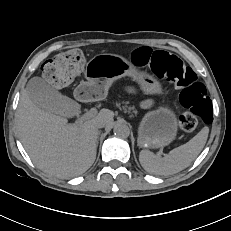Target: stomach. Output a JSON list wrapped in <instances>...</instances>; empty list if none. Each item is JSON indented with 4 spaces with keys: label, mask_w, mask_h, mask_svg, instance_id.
<instances>
[{
    "label": "stomach",
    "mask_w": 231,
    "mask_h": 231,
    "mask_svg": "<svg viewBox=\"0 0 231 231\" xmlns=\"http://www.w3.org/2000/svg\"><path fill=\"white\" fill-rule=\"evenodd\" d=\"M122 56L99 54L94 56L84 70L86 82L81 83L75 93L81 101H97L106 98L114 81L126 75L132 76L144 94H162L160 83L152 76L139 75ZM178 122L174 112L168 107H160L148 112L138 129L140 147L159 148L171 143L177 135Z\"/></svg>",
    "instance_id": "stomach-1"
}]
</instances>
